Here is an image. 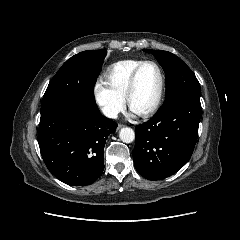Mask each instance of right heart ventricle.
Listing matches in <instances>:
<instances>
[{"mask_svg": "<svg viewBox=\"0 0 240 240\" xmlns=\"http://www.w3.org/2000/svg\"><path fill=\"white\" fill-rule=\"evenodd\" d=\"M141 62L139 59H126L113 63L104 74L105 82L113 91L125 98L129 78Z\"/></svg>", "mask_w": 240, "mask_h": 240, "instance_id": "1", "label": "right heart ventricle"}]
</instances>
